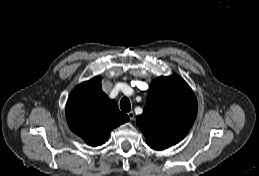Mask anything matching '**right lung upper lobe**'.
<instances>
[{
	"label": "right lung upper lobe",
	"mask_w": 259,
	"mask_h": 176,
	"mask_svg": "<svg viewBox=\"0 0 259 176\" xmlns=\"http://www.w3.org/2000/svg\"><path fill=\"white\" fill-rule=\"evenodd\" d=\"M66 118L70 129L91 146L103 144L113 128L129 121L128 115L120 112L115 101L102 91L98 76L72 91Z\"/></svg>",
	"instance_id": "obj_1"
}]
</instances>
